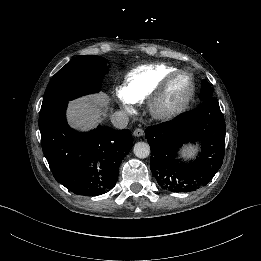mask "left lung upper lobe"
<instances>
[{
    "label": "left lung upper lobe",
    "instance_id": "obj_1",
    "mask_svg": "<svg viewBox=\"0 0 261 261\" xmlns=\"http://www.w3.org/2000/svg\"><path fill=\"white\" fill-rule=\"evenodd\" d=\"M211 97H213V89L206 80H203L200 92V99L204 100Z\"/></svg>",
    "mask_w": 261,
    "mask_h": 261
}]
</instances>
